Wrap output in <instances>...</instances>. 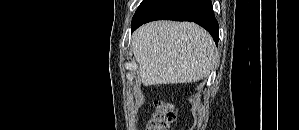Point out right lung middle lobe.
<instances>
[{"label": "right lung middle lobe", "instance_id": "obj_1", "mask_svg": "<svg viewBox=\"0 0 299 130\" xmlns=\"http://www.w3.org/2000/svg\"><path fill=\"white\" fill-rule=\"evenodd\" d=\"M148 1H149V0H143L142 3L140 4V6H139L138 9H140V8H141L145 3H147ZM138 9H137V11H138ZM137 11H136V12H137Z\"/></svg>", "mask_w": 299, "mask_h": 130}]
</instances>
